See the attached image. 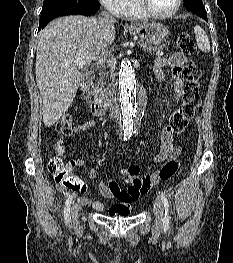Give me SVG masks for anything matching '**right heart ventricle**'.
I'll return each instance as SVG.
<instances>
[{
	"label": "right heart ventricle",
	"instance_id": "e07e8e85",
	"mask_svg": "<svg viewBox=\"0 0 233 263\" xmlns=\"http://www.w3.org/2000/svg\"><path fill=\"white\" fill-rule=\"evenodd\" d=\"M119 15L135 19H143L146 17V15L137 7L135 0H126Z\"/></svg>",
	"mask_w": 233,
	"mask_h": 263
}]
</instances>
